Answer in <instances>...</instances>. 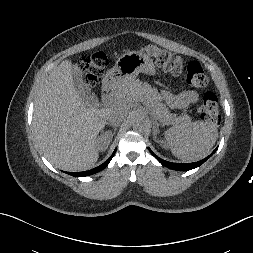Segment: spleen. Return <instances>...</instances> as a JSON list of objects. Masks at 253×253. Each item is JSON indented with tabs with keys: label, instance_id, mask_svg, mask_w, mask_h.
<instances>
[{
	"label": "spleen",
	"instance_id": "3e777b00",
	"mask_svg": "<svg viewBox=\"0 0 253 253\" xmlns=\"http://www.w3.org/2000/svg\"><path fill=\"white\" fill-rule=\"evenodd\" d=\"M164 136L175 157L191 162L209 153L218 138V130L215 124L195 121L173 126Z\"/></svg>",
	"mask_w": 253,
	"mask_h": 253
}]
</instances>
